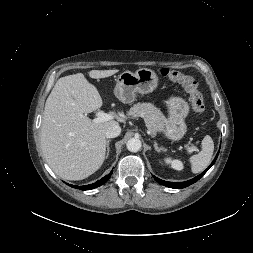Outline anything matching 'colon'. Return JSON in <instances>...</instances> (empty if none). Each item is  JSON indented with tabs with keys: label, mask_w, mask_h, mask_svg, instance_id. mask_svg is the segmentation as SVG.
Wrapping results in <instances>:
<instances>
[{
	"label": "colon",
	"mask_w": 253,
	"mask_h": 253,
	"mask_svg": "<svg viewBox=\"0 0 253 253\" xmlns=\"http://www.w3.org/2000/svg\"><path fill=\"white\" fill-rule=\"evenodd\" d=\"M159 73L170 81L181 84L189 94L192 110L196 114L203 113L205 109L203 95L198 88V82L192 75L171 68H162Z\"/></svg>",
	"instance_id": "obj_1"
}]
</instances>
